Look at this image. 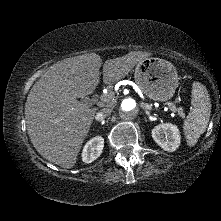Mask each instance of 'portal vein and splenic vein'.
Returning a JSON list of instances; mask_svg holds the SVG:
<instances>
[{"label":"portal vein and splenic vein","mask_w":221,"mask_h":221,"mask_svg":"<svg viewBox=\"0 0 221 221\" xmlns=\"http://www.w3.org/2000/svg\"><path fill=\"white\" fill-rule=\"evenodd\" d=\"M101 100L104 101V102H106L107 99H106L105 95H102V96H101ZM167 106H168V107L170 108V110L173 111V112H176V111L179 110V109L176 108V106H174V105H172V104H170V103H167Z\"/></svg>","instance_id":"obj_1"}]
</instances>
